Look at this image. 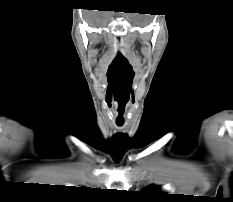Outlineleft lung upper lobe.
I'll return each mask as SVG.
<instances>
[{"mask_svg":"<svg viewBox=\"0 0 233 202\" xmlns=\"http://www.w3.org/2000/svg\"><path fill=\"white\" fill-rule=\"evenodd\" d=\"M145 193L150 196H168V193H161L159 192V187L151 185L146 188Z\"/></svg>","mask_w":233,"mask_h":202,"instance_id":"left-lung-upper-lobe-1","label":"left lung upper lobe"}]
</instances>
